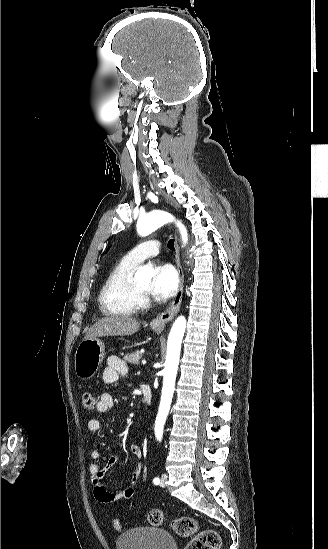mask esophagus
I'll use <instances>...</instances> for the list:
<instances>
[{
	"instance_id": "esophagus-1",
	"label": "esophagus",
	"mask_w": 328,
	"mask_h": 549,
	"mask_svg": "<svg viewBox=\"0 0 328 549\" xmlns=\"http://www.w3.org/2000/svg\"><path fill=\"white\" fill-rule=\"evenodd\" d=\"M175 249H176V263H177V269H178V275H179V287L177 294L174 297V300L169 305L168 309H166L164 312L159 314L155 319H153L150 323V325L155 330H163L167 322L169 320H172L175 315L178 313L182 296H183V282H184V275L183 270L180 262V254H179V247L177 244V240H175Z\"/></svg>"
}]
</instances>
